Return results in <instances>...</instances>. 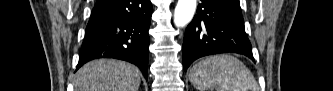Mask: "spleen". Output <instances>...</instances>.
I'll list each match as a JSON object with an SVG mask.
<instances>
[{
	"label": "spleen",
	"instance_id": "3e777b00",
	"mask_svg": "<svg viewBox=\"0 0 333 91\" xmlns=\"http://www.w3.org/2000/svg\"><path fill=\"white\" fill-rule=\"evenodd\" d=\"M189 79L198 91H259L251 71L229 54L198 62L190 69Z\"/></svg>",
	"mask_w": 333,
	"mask_h": 91
}]
</instances>
